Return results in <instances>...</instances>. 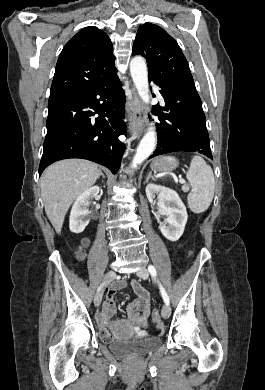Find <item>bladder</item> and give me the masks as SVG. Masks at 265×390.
I'll list each match as a JSON object with an SVG mask.
<instances>
[{
	"mask_svg": "<svg viewBox=\"0 0 265 390\" xmlns=\"http://www.w3.org/2000/svg\"><path fill=\"white\" fill-rule=\"evenodd\" d=\"M161 345V339L156 336L144 339H118L109 342V349L124 357L144 355Z\"/></svg>",
	"mask_w": 265,
	"mask_h": 390,
	"instance_id": "1",
	"label": "bladder"
}]
</instances>
